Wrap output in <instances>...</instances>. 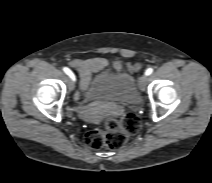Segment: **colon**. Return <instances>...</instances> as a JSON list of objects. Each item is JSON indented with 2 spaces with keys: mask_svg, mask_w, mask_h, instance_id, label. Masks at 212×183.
<instances>
[{
  "mask_svg": "<svg viewBox=\"0 0 212 183\" xmlns=\"http://www.w3.org/2000/svg\"><path fill=\"white\" fill-rule=\"evenodd\" d=\"M141 120L134 113L125 114L120 119L106 116L100 128H94L85 134L84 141L92 149L108 147L119 149L127 140L138 133Z\"/></svg>",
  "mask_w": 212,
  "mask_h": 183,
  "instance_id": "1",
  "label": "colon"
}]
</instances>
